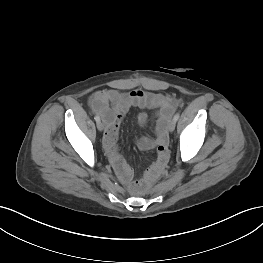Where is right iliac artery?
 <instances>
[{"instance_id": "right-iliac-artery-1", "label": "right iliac artery", "mask_w": 263, "mask_h": 263, "mask_svg": "<svg viewBox=\"0 0 263 263\" xmlns=\"http://www.w3.org/2000/svg\"><path fill=\"white\" fill-rule=\"evenodd\" d=\"M94 119L96 120V122H99V121H100V117H99L98 115H96V116L94 117Z\"/></svg>"}]
</instances>
